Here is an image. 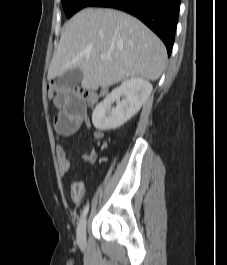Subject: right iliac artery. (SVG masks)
Listing matches in <instances>:
<instances>
[{"label": "right iliac artery", "mask_w": 227, "mask_h": 265, "mask_svg": "<svg viewBox=\"0 0 227 265\" xmlns=\"http://www.w3.org/2000/svg\"><path fill=\"white\" fill-rule=\"evenodd\" d=\"M88 210H89V205H87V206L84 207V210H83V212L81 214V219L82 220L86 217V215L88 213Z\"/></svg>", "instance_id": "82829eb1"}]
</instances>
